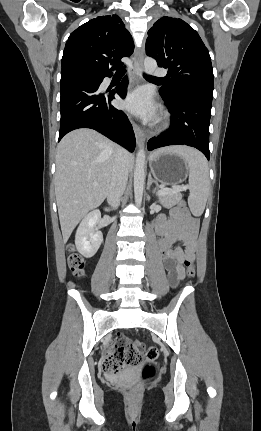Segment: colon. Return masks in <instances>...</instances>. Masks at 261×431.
Instances as JSON below:
<instances>
[{
    "instance_id": "5ec220e1",
    "label": "colon",
    "mask_w": 261,
    "mask_h": 431,
    "mask_svg": "<svg viewBox=\"0 0 261 431\" xmlns=\"http://www.w3.org/2000/svg\"><path fill=\"white\" fill-rule=\"evenodd\" d=\"M73 1V0H72ZM181 208H186V203H180ZM68 265L72 273L81 277L85 272V260L81 254H79L74 246L70 245L68 247ZM186 271L189 277L194 276V265L192 259H186L184 262ZM159 356V349L157 347H148L146 351L140 350V344L134 342L131 338L126 335H119L113 341V350L105 358L102 368L103 371L111 376L119 374L123 368L126 366L137 365L142 360L147 362L143 369L142 377L143 379H149L154 373V367L152 362H154ZM141 387L139 385L133 386L130 389L132 394H136L140 391Z\"/></svg>"
}]
</instances>
